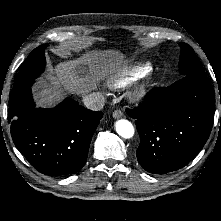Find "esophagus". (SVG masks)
<instances>
[{"label":"esophagus","instance_id":"esophagus-1","mask_svg":"<svg viewBox=\"0 0 221 221\" xmlns=\"http://www.w3.org/2000/svg\"><path fill=\"white\" fill-rule=\"evenodd\" d=\"M112 115H113V118L115 119L124 117V113L119 109L115 110Z\"/></svg>","mask_w":221,"mask_h":221}]
</instances>
